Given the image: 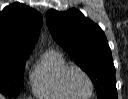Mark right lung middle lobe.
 I'll use <instances>...</instances> for the list:
<instances>
[{"mask_svg": "<svg viewBox=\"0 0 128 99\" xmlns=\"http://www.w3.org/2000/svg\"><path fill=\"white\" fill-rule=\"evenodd\" d=\"M28 55L0 52V93L18 96L22 91L24 67Z\"/></svg>", "mask_w": 128, "mask_h": 99, "instance_id": "dd1d6c3e", "label": "right lung middle lobe"}]
</instances>
